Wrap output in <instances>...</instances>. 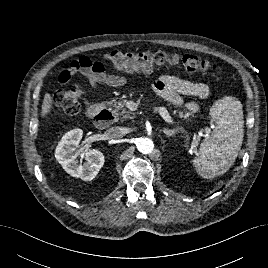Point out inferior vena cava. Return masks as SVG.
<instances>
[{"label":"inferior vena cava","mask_w":268,"mask_h":268,"mask_svg":"<svg viewBox=\"0 0 268 268\" xmlns=\"http://www.w3.org/2000/svg\"><path fill=\"white\" fill-rule=\"evenodd\" d=\"M105 134L108 139L114 140L120 139L124 135L122 128L119 126L110 127L108 130H106Z\"/></svg>","instance_id":"obj_1"}]
</instances>
